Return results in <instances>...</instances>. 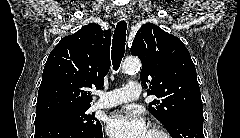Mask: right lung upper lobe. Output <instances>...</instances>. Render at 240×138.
I'll list each match as a JSON object with an SVG mask.
<instances>
[{
  "label": "right lung upper lobe",
  "instance_id": "right-lung-upper-lobe-1",
  "mask_svg": "<svg viewBox=\"0 0 240 138\" xmlns=\"http://www.w3.org/2000/svg\"><path fill=\"white\" fill-rule=\"evenodd\" d=\"M111 31L91 23L60 40L46 61L36 115L90 107L89 88L103 86L110 69Z\"/></svg>",
  "mask_w": 240,
  "mask_h": 138
}]
</instances>
